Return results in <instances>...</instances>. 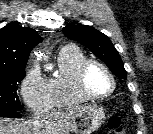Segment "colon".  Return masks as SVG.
Instances as JSON below:
<instances>
[{"label": "colon", "mask_w": 153, "mask_h": 134, "mask_svg": "<svg viewBox=\"0 0 153 134\" xmlns=\"http://www.w3.org/2000/svg\"><path fill=\"white\" fill-rule=\"evenodd\" d=\"M108 127L112 131V134H127L121 127V120L118 116H113L110 118Z\"/></svg>", "instance_id": "obj_1"}]
</instances>
